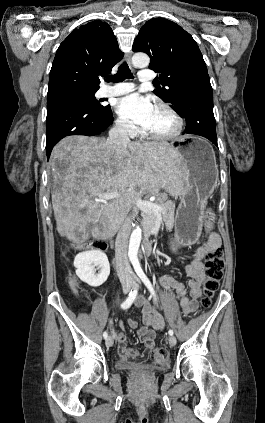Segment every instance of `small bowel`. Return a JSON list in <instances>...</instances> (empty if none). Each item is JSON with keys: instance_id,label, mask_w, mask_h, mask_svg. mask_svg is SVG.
<instances>
[{"instance_id": "c3829d8e", "label": "small bowel", "mask_w": 265, "mask_h": 423, "mask_svg": "<svg viewBox=\"0 0 265 423\" xmlns=\"http://www.w3.org/2000/svg\"><path fill=\"white\" fill-rule=\"evenodd\" d=\"M221 245V239L216 232L210 231L207 234L206 244L200 247L193 256L190 264L185 268L189 280L186 285L171 276L160 278V285L176 296V300L183 309L185 315H190L198 308V298L201 295V284L205 278V265L203 256L211 248ZM135 307L141 310L142 326L138 329L137 335L142 351L131 349L127 346V336L123 332H114V338L118 342V352L124 361L145 359L153 348L156 331L164 328L162 315L155 310L144 296H138L134 302ZM130 328H138V322L132 319L127 321ZM121 329L125 328L123 321L119 322Z\"/></svg>"}]
</instances>
